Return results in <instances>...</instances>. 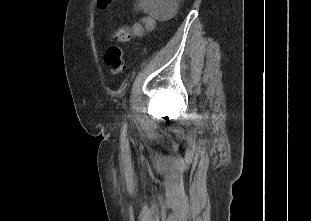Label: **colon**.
<instances>
[{"label": "colon", "instance_id": "1", "mask_svg": "<svg viewBox=\"0 0 311 221\" xmlns=\"http://www.w3.org/2000/svg\"><path fill=\"white\" fill-rule=\"evenodd\" d=\"M109 0H96L95 8L96 9H105L106 4H108ZM128 27L123 26L119 29L115 37L117 40L127 41L128 40ZM106 63L112 75H119L125 70V63L122 51L116 47L111 46L108 48L106 52Z\"/></svg>", "mask_w": 311, "mask_h": 221}]
</instances>
